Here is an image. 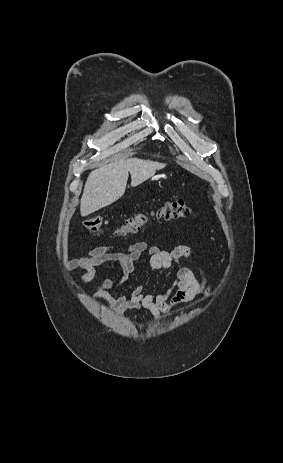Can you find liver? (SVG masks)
Listing matches in <instances>:
<instances>
[{
    "mask_svg": "<svg viewBox=\"0 0 283 463\" xmlns=\"http://www.w3.org/2000/svg\"><path fill=\"white\" fill-rule=\"evenodd\" d=\"M166 166L151 160L130 158L103 165L93 170L85 183L80 202L82 216L108 206L121 198L126 189L129 172L131 186L136 187Z\"/></svg>",
    "mask_w": 283,
    "mask_h": 463,
    "instance_id": "1",
    "label": "liver"
}]
</instances>
